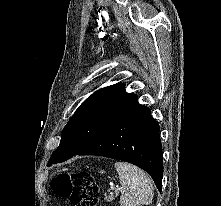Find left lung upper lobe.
<instances>
[{"label": "left lung upper lobe", "instance_id": "5c2ea615", "mask_svg": "<svg viewBox=\"0 0 221 206\" xmlns=\"http://www.w3.org/2000/svg\"><path fill=\"white\" fill-rule=\"evenodd\" d=\"M136 99L135 94L126 93L122 83L101 88L89 96L64 127L60 145L50 157L48 166L73 157Z\"/></svg>", "mask_w": 221, "mask_h": 206}]
</instances>
